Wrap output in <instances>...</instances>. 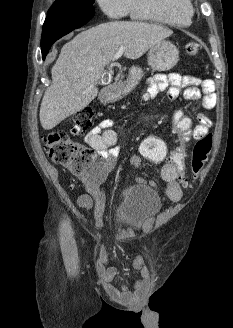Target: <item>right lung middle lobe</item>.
Returning <instances> with one entry per match:
<instances>
[{"instance_id": "obj_1", "label": "right lung middle lobe", "mask_w": 233, "mask_h": 328, "mask_svg": "<svg viewBox=\"0 0 233 328\" xmlns=\"http://www.w3.org/2000/svg\"><path fill=\"white\" fill-rule=\"evenodd\" d=\"M94 0H56L48 15H85L94 14Z\"/></svg>"}]
</instances>
